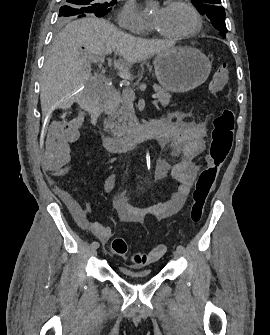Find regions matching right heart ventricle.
<instances>
[{
	"instance_id": "e07e8e85",
	"label": "right heart ventricle",
	"mask_w": 270,
	"mask_h": 335,
	"mask_svg": "<svg viewBox=\"0 0 270 335\" xmlns=\"http://www.w3.org/2000/svg\"><path fill=\"white\" fill-rule=\"evenodd\" d=\"M159 78H173V77H159Z\"/></svg>"
}]
</instances>
